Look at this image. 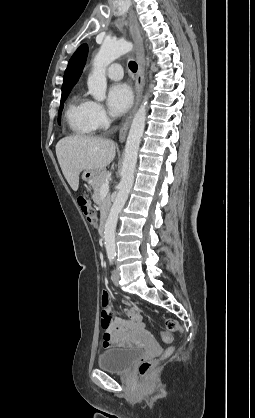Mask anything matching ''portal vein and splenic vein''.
I'll return each mask as SVG.
<instances>
[{"mask_svg":"<svg viewBox=\"0 0 255 418\" xmlns=\"http://www.w3.org/2000/svg\"><path fill=\"white\" fill-rule=\"evenodd\" d=\"M109 192V183L106 182L101 186L100 194L106 195Z\"/></svg>","mask_w":255,"mask_h":418,"instance_id":"18ae733b","label":"portal vein and splenic vein"}]
</instances>
